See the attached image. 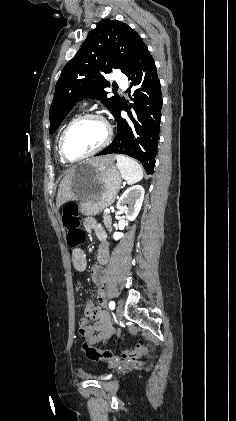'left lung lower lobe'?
Instances as JSON below:
<instances>
[{
	"instance_id": "obj_1",
	"label": "left lung lower lobe",
	"mask_w": 236,
	"mask_h": 421,
	"mask_svg": "<svg viewBox=\"0 0 236 421\" xmlns=\"http://www.w3.org/2000/svg\"><path fill=\"white\" fill-rule=\"evenodd\" d=\"M125 75L131 81L130 88H136L132 94L133 103L130 104L132 110L127 111L130 119L121 117V102L114 114L117 122L116 137L96 156L126 154L139 160L147 174H153L159 142L162 97L155 62L145 44L139 46Z\"/></svg>"
}]
</instances>
